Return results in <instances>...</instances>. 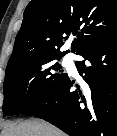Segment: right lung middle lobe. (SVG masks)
I'll list each match as a JSON object with an SVG mask.
<instances>
[{
  "label": "right lung middle lobe",
  "mask_w": 117,
  "mask_h": 136,
  "mask_svg": "<svg viewBox=\"0 0 117 136\" xmlns=\"http://www.w3.org/2000/svg\"><path fill=\"white\" fill-rule=\"evenodd\" d=\"M59 56L37 55L7 64L3 115L16 114L34 98L57 87L68 75L55 63Z\"/></svg>",
  "instance_id": "right-lung-middle-lobe-1"
}]
</instances>
